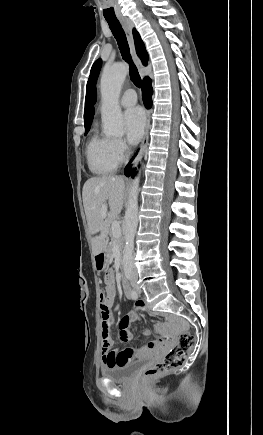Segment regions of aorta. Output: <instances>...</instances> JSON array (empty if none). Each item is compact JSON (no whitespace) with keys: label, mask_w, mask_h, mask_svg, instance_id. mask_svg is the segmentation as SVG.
<instances>
[{"label":"aorta","mask_w":263,"mask_h":435,"mask_svg":"<svg viewBox=\"0 0 263 435\" xmlns=\"http://www.w3.org/2000/svg\"><path fill=\"white\" fill-rule=\"evenodd\" d=\"M128 73V67L117 64L104 70L100 89L102 95V123L106 136H122L123 116L119 106L121 87ZM139 177L130 188L124 223L123 267L126 274L133 269L134 238L138 226Z\"/></svg>","instance_id":"762f6f07"}]
</instances>
